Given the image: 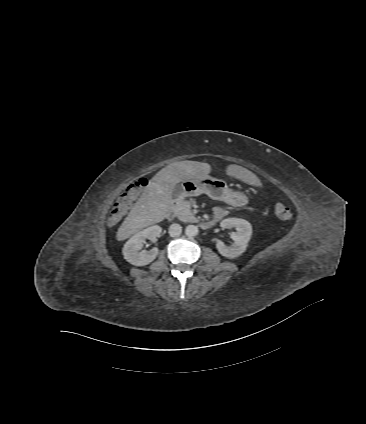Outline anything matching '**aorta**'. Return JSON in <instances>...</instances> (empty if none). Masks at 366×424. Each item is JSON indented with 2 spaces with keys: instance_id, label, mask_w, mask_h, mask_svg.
Masks as SVG:
<instances>
[{
  "instance_id": "762f6f07",
  "label": "aorta",
  "mask_w": 366,
  "mask_h": 424,
  "mask_svg": "<svg viewBox=\"0 0 366 424\" xmlns=\"http://www.w3.org/2000/svg\"><path fill=\"white\" fill-rule=\"evenodd\" d=\"M185 234L189 237L196 236L198 234V227L195 225H188L185 228Z\"/></svg>"
}]
</instances>
